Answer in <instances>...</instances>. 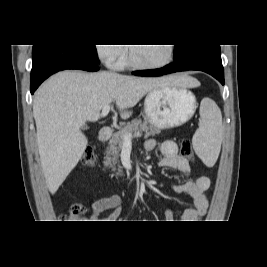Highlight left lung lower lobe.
Wrapping results in <instances>:
<instances>
[{
    "label": "left lung lower lobe",
    "mask_w": 267,
    "mask_h": 267,
    "mask_svg": "<svg viewBox=\"0 0 267 267\" xmlns=\"http://www.w3.org/2000/svg\"><path fill=\"white\" fill-rule=\"evenodd\" d=\"M199 70L215 77L224 85V71L221 61L219 45H200L188 51L180 60L174 64L151 70H139L133 72L137 76H162L174 72Z\"/></svg>",
    "instance_id": "0a47b994"
}]
</instances>
